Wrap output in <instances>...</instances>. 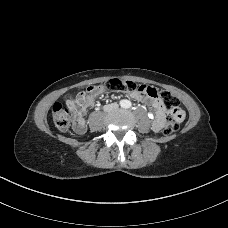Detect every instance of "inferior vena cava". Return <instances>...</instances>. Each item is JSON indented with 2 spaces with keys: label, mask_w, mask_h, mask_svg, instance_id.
<instances>
[{
  "label": "inferior vena cava",
  "mask_w": 228,
  "mask_h": 228,
  "mask_svg": "<svg viewBox=\"0 0 228 228\" xmlns=\"http://www.w3.org/2000/svg\"><path fill=\"white\" fill-rule=\"evenodd\" d=\"M118 108V104L112 103L104 106V111L105 112H110Z\"/></svg>",
  "instance_id": "602c4592"
}]
</instances>
